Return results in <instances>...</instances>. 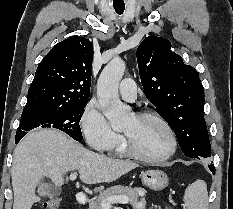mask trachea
<instances>
[{
    "mask_svg": "<svg viewBox=\"0 0 233 209\" xmlns=\"http://www.w3.org/2000/svg\"><path fill=\"white\" fill-rule=\"evenodd\" d=\"M114 9L116 11L117 14H122L125 10V6H114Z\"/></svg>",
    "mask_w": 233,
    "mask_h": 209,
    "instance_id": "obj_1",
    "label": "trachea"
}]
</instances>
